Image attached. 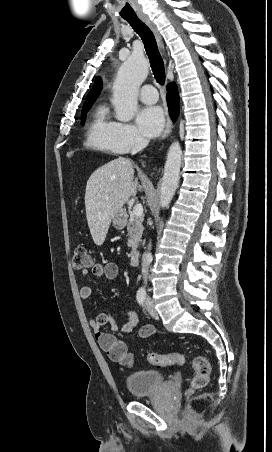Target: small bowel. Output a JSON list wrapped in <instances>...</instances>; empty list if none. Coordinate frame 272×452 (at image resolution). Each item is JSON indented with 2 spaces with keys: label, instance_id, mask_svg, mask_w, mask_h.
<instances>
[{
  "label": "small bowel",
  "instance_id": "1",
  "mask_svg": "<svg viewBox=\"0 0 272 452\" xmlns=\"http://www.w3.org/2000/svg\"><path fill=\"white\" fill-rule=\"evenodd\" d=\"M119 273V268L114 262H106V263H96L92 266V274L98 278H104L107 281L114 280ZM89 275V271L87 269H83L81 271V277L87 278ZM93 290L89 285H84L80 289V297L83 300H90L92 298ZM128 321L121 328V334H127L131 332L138 324V317L134 310L128 309L127 311ZM89 325L93 332L95 333L96 340L100 346V348L107 352L110 356V353L113 347L117 344H121L124 348L125 346L117 339V324L110 312H102L96 318H92L89 320ZM110 326L111 332L106 333L102 331L104 326ZM156 334V329L152 325L142 326L138 331V337L140 339H146Z\"/></svg>",
  "mask_w": 272,
  "mask_h": 452
}]
</instances>
